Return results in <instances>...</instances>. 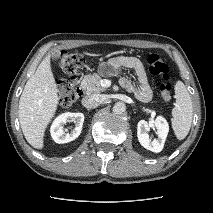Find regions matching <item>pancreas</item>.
<instances>
[{
  "instance_id": "1",
  "label": "pancreas",
  "mask_w": 213,
  "mask_h": 213,
  "mask_svg": "<svg viewBox=\"0 0 213 213\" xmlns=\"http://www.w3.org/2000/svg\"><path fill=\"white\" fill-rule=\"evenodd\" d=\"M101 77L94 73L93 75H85L81 82V88L87 94L103 92L106 89L100 85Z\"/></svg>"
}]
</instances>
